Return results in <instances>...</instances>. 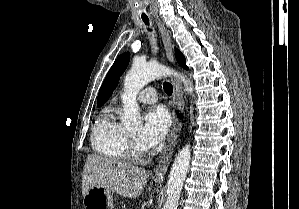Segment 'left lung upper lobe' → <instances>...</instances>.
Here are the masks:
<instances>
[{
    "label": "left lung upper lobe",
    "mask_w": 299,
    "mask_h": 209,
    "mask_svg": "<svg viewBox=\"0 0 299 209\" xmlns=\"http://www.w3.org/2000/svg\"><path fill=\"white\" fill-rule=\"evenodd\" d=\"M175 56L179 65L182 66L184 69H188V67L185 64V57L178 49L175 50ZM128 60L129 53H124L120 55L114 62L99 90L97 99L98 107L104 104V102H106L112 95L113 90L116 88L118 84L120 75L128 65Z\"/></svg>",
    "instance_id": "5c2ea615"
}]
</instances>
